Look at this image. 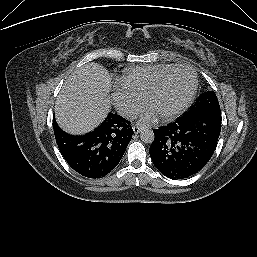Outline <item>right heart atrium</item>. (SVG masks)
Instances as JSON below:
<instances>
[{
    "label": "right heart atrium",
    "mask_w": 257,
    "mask_h": 257,
    "mask_svg": "<svg viewBox=\"0 0 257 257\" xmlns=\"http://www.w3.org/2000/svg\"><path fill=\"white\" fill-rule=\"evenodd\" d=\"M113 103L125 118H132L143 108L145 101L144 98L119 89L113 94Z\"/></svg>",
    "instance_id": "d8ad5b80"
}]
</instances>
